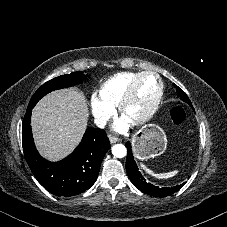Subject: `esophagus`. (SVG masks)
Here are the masks:
<instances>
[{"mask_svg": "<svg viewBox=\"0 0 227 227\" xmlns=\"http://www.w3.org/2000/svg\"><path fill=\"white\" fill-rule=\"evenodd\" d=\"M110 142L113 143H117L120 141V138L116 137V136H110L109 137Z\"/></svg>", "mask_w": 227, "mask_h": 227, "instance_id": "esophagus-1", "label": "esophagus"}]
</instances>
